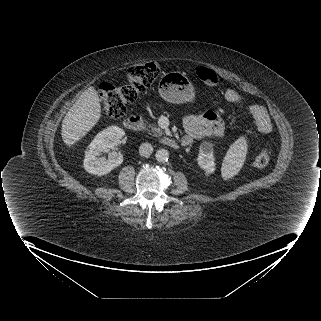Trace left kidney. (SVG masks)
I'll list each match as a JSON object with an SVG mask.
<instances>
[{
  "mask_svg": "<svg viewBox=\"0 0 321 321\" xmlns=\"http://www.w3.org/2000/svg\"><path fill=\"white\" fill-rule=\"evenodd\" d=\"M197 162L205 172L213 173L215 171V158L212 145H206L200 148Z\"/></svg>",
  "mask_w": 321,
  "mask_h": 321,
  "instance_id": "5707ae66",
  "label": "left kidney"
}]
</instances>
